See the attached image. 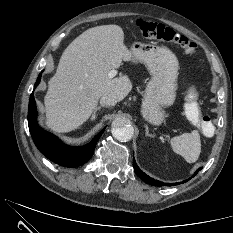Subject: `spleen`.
Instances as JSON below:
<instances>
[{"instance_id": "obj_1", "label": "spleen", "mask_w": 233, "mask_h": 233, "mask_svg": "<svg viewBox=\"0 0 233 233\" xmlns=\"http://www.w3.org/2000/svg\"><path fill=\"white\" fill-rule=\"evenodd\" d=\"M170 144L172 150L181 155L188 163H194L198 160L201 152V141L197 130L173 137Z\"/></svg>"}]
</instances>
